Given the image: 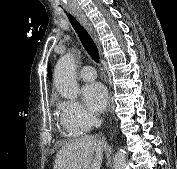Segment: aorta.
<instances>
[{
	"label": "aorta",
	"instance_id": "762f6f07",
	"mask_svg": "<svg viewBox=\"0 0 177 169\" xmlns=\"http://www.w3.org/2000/svg\"><path fill=\"white\" fill-rule=\"evenodd\" d=\"M75 57L72 53L62 56L56 63L53 81L59 94L68 100L76 99L79 95ZM126 152L120 149L114 157L113 169H128Z\"/></svg>",
	"mask_w": 177,
	"mask_h": 169
}]
</instances>
